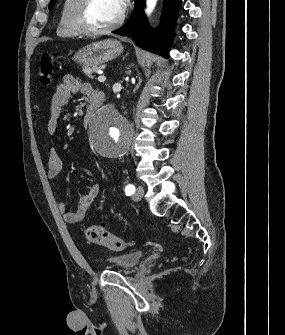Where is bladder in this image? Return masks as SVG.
I'll list each match as a JSON object with an SVG mask.
<instances>
[{"mask_svg": "<svg viewBox=\"0 0 285 335\" xmlns=\"http://www.w3.org/2000/svg\"><path fill=\"white\" fill-rule=\"evenodd\" d=\"M145 256L144 251H127L122 252L118 255L107 256L105 262L107 265H111L109 260L114 258L116 263L114 265H132V269L142 263Z\"/></svg>", "mask_w": 285, "mask_h": 335, "instance_id": "31cf9c89", "label": "bladder"}]
</instances>
